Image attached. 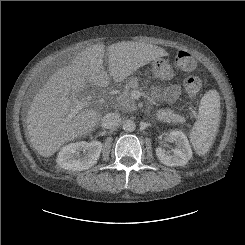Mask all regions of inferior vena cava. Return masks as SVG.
<instances>
[{
	"label": "inferior vena cava",
	"instance_id": "inferior-vena-cava-1",
	"mask_svg": "<svg viewBox=\"0 0 245 245\" xmlns=\"http://www.w3.org/2000/svg\"><path fill=\"white\" fill-rule=\"evenodd\" d=\"M102 122L106 128L111 129L117 127L120 124L121 118L118 113H107L103 117Z\"/></svg>",
	"mask_w": 245,
	"mask_h": 245
}]
</instances>
